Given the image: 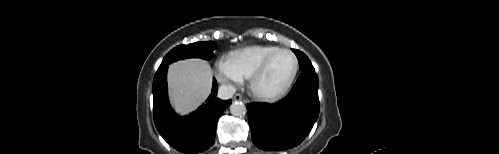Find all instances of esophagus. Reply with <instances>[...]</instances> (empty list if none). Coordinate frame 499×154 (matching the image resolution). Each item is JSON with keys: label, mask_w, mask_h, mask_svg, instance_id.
I'll return each mask as SVG.
<instances>
[{"label": "esophagus", "mask_w": 499, "mask_h": 154, "mask_svg": "<svg viewBox=\"0 0 499 154\" xmlns=\"http://www.w3.org/2000/svg\"><path fill=\"white\" fill-rule=\"evenodd\" d=\"M233 100L235 101H240V100H243V97L241 94H235L234 97H233Z\"/></svg>", "instance_id": "1"}]
</instances>
